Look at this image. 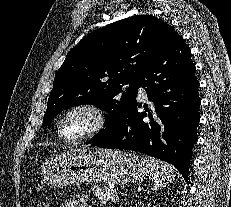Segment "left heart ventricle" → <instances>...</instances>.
<instances>
[{
    "instance_id": "b2bd125f",
    "label": "left heart ventricle",
    "mask_w": 231,
    "mask_h": 207,
    "mask_svg": "<svg viewBox=\"0 0 231 207\" xmlns=\"http://www.w3.org/2000/svg\"><path fill=\"white\" fill-rule=\"evenodd\" d=\"M92 117L85 111H76L70 114L65 121V133L69 137H78L85 134L92 126Z\"/></svg>"
}]
</instances>
